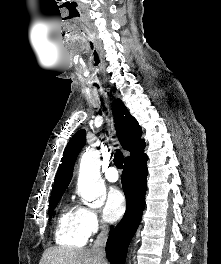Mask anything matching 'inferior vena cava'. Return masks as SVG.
<instances>
[{
  "label": "inferior vena cava",
  "mask_w": 221,
  "mask_h": 264,
  "mask_svg": "<svg viewBox=\"0 0 221 264\" xmlns=\"http://www.w3.org/2000/svg\"><path fill=\"white\" fill-rule=\"evenodd\" d=\"M106 241H107V230L102 229V231L97 236V239L95 240L94 245L92 247V251L99 258H104Z\"/></svg>",
  "instance_id": "1"
}]
</instances>
